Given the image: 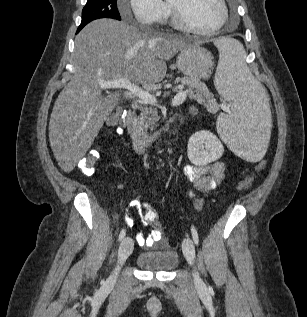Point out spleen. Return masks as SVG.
I'll return each instance as SVG.
<instances>
[{
  "label": "spleen",
  "mask_w": 307,
  "mask_h": 317,
  "mask_svg": "<svg viewBox=\"0 0 307 317\" xmlns=\"http://www.w3.org/2000/svg\"><path fill=\"white\" fill-rule=\"evenodd\" d=\"M211 47L219 50L215 73V87L230 103L233 113L221 115L217 131L240 160H261L269 150L271 139L270 100H266V86H261L245 62V51L238 40L214 37Z\"/></svg>",
  "instance_id": "3e777b00"
}]
</instances>
